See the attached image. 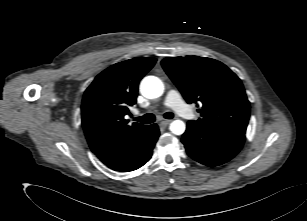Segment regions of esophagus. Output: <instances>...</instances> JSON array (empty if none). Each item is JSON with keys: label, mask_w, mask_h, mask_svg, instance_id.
Segmentation results:
<instances>
[{"label": "esophagus", "mask_w": 307, "mask_h": 221, "mask_svg": "<svg viewBox=\"0 0 307 221\" xmlns=\"http://www.w3.org/2000/svg\"><path fill=\"white\" fill-rule=\"evenodd\" d=\"M171 120H163L160 122L161 127H166L168 124H170Z\"/></svg>", "instance_id": "esophagus-1"}]
</instances>
